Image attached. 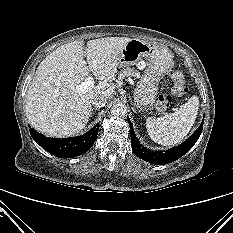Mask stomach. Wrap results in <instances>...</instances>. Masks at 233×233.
Segmentation results:
<instances>
[{"label": "stomach", "mask_w": 233, "mask_h": 233, "mask_svg": "<svg viewBox=\"0 0 233 233\" xmlns=\"http://www.w3.org/2000/svg\"><path fill=\"white\" fill-rule=\"evenodd\" d=\"M142 58L148 60L145 74L134 90V103L139 110L152 106L158 94V83L172 63L170 51L156 43L141 39H131L118 54V66L136 64Z\"/></svg>", "instance_id": "obj_1"}]
</instances>
